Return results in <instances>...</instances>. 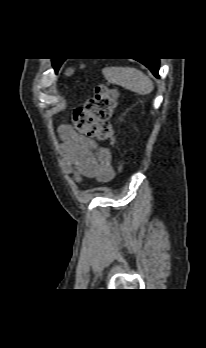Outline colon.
<instances>
[{"label":"colon","mask_w":206,"mask_h":348,"mask_svg":"<svg viewBox=\"0 0 206 348\" xmlns=\"http://www.w3.org/2000/svg\"><path fill=\"white\" fill-rule=\"evenodd\" d=\"M118 98L116 89L107 85H99L93 97L89 98L82 109L74 111L72 122L75 129L89 137L100 141H108L116 151V135L110 123L113 109ZM118 170H122L124 162L118 154Z\"/></svg>","instance_id":"obj_1"}]
</instances>
